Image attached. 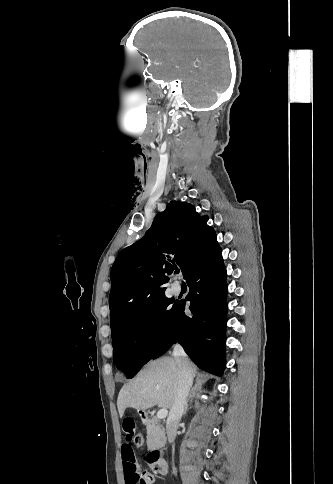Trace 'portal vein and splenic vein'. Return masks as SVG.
Returning a JSON list of instances; mask_svg holds the SVG:
<instances>
[{
  "instance_id": "obj_1",
  "label": "portal vein and splenic vein",
  "mask_w": 333,
  "mask_h": 484,
  "mask_svg": "<svg viewBox=\"0 0 333 484\" xmlns=\"http://www.w3.org/2000/svg\"><path fill=\"white\" fill-rule=\"evenodd\" d=\"M167 414H168V410L167 409H160L157 412V418L158 419H164V418H166Z\"/></svg>"
}]
</instances>
